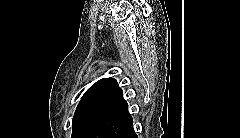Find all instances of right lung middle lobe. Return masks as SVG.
Here are the masks:
<instances>
[{
	"mask_svg": "<svg viewBox=\"0 0 240 138\" xmlns=\"http://www.w3.org/2000/svg\"><path fill=\"white\" fill-rule=\"evenodd\" d=\"M106 114H81L73 118V131L71 138H86L88 134L104 121Z\"/></svg>",
	"mask_w": 240,
	"mask_h": 138,
	"instance_id": "right-lung-middle-lobe-1",
	"label": "right lung middle lobe"
}]
</instances>
